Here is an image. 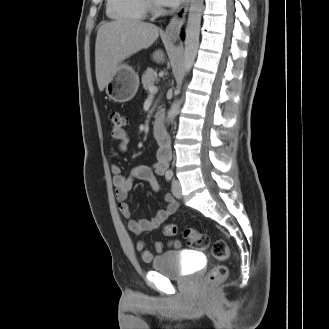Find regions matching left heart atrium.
I'll list each match as a JSON object with an SVG mask.
<instances>
[{
	"label": "left heart atrium",
	"instance_id": "1",
	"mask_svg": "<svg viewBox=\"0 0 329 329\" xmlns=\"http://www.w3.org/2000/svg\"><path fill=\"white\" fill-rule=\"evenodd\" d=\"M161 4L165 5V6H177L181 0H159Z\"/></svg>",
	"mask_w": 329,
	"mask_h": 329
}]
</instances>
